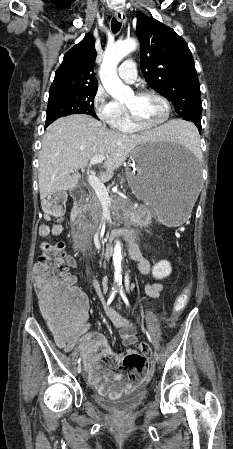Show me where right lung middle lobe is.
Here are the masks:
<instances>
[{
  "label": "right lung middle lobe",
  "instance_id": "right-lung-middle-lobe-1",
  "mask_svg": "<svg viewBox=\"0 0 233 449\" xmlns=\"http://www.w3.org/2000/svg\"><path fill=\"white\" fill-rule=\"evenodd\" d=\"M96 93L97 89L49 94L46 126L57 118L70 114H87L97 118L93 107Z\"/></svg>",
  "mask_w": 233,
  "mask_h": 449
}]
</instances>
